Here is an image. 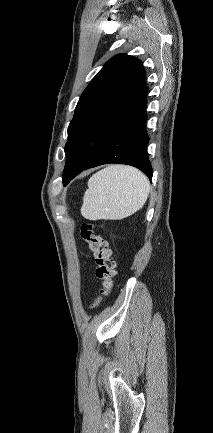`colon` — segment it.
I'll return each instance as SVG.
<instances>
[{
  "instance_id": "obj_1",
  "label": "colon",
  "mask_w": 213,
  "mask_h": 433,
  "mask_svg": "<svg viewBox=\"0 0 213 433\" xmlns=\"http://www.w3.org/2000/svg\"><path fill=\"white\" fill-rule=\"evenodd\" d=\"M80 236L88 244L92 251L95 262V275L100 281L98 294L91 302V310H95L100 305L102 299L109 295L113 279L116 275V263L112 257V251L108 241L94 231V225L84 222L80 226Z\"/></svg>"
}]
</instances>
